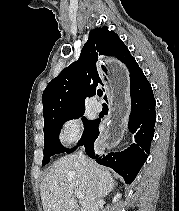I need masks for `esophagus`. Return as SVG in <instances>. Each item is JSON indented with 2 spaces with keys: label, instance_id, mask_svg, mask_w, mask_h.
I'll return each instance as SVG.
<instances>
[{
  "label": "esophagus",
  "instance_id": "34e87169",
  "mask_svg": "<svg viewBox=\"0 0 179 211\" xmlns=\"http://www.w3.org/2000/svg\"><path fill=\"white\" fill-rule=\"evenodd\" d=\"M118 60L117 56L113 57ZM99 69L101 78L107 87L109 94V119L106 120L105 133H101L98 149H111L112 145H118L123 140L122 133L127 129L129 117L128 109L131 108V99L127 93L129 82L124 64H108L109 57L100 60ZM105 63V64H104Z\"/></svg>",
  "mask_w": 179,
  "mask_h": 211
}]
</instances>
